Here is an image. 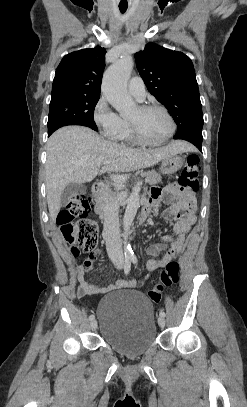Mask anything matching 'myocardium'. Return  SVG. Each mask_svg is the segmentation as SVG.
Masks as SVG:
<instances>
[{
  "instance_id": "f54148a6",
  "label": "myocardium",
  "mask_w": 247,
  "mask_h": 407,
  "mask_svg": "<svg viewBox=\"0 0 247 407\" xmlns=\"http://www.w3.org/2000/svg\"><path fill=\"white\" fill-rule=\"evenodd\" d=\"M138 108L142 111L160 110L161 112H163L170 123V131H169L168 135L161 141H157V142L148 141L142 137L136 124L134 122L128 120L129 129H130L131 135L134 138V140L141 145L151 146V147H156V146H161V145L166 144L173 137V135L176 132V128H177L176 122H175L172 114L170 113V111L166 107H164L160 104H143V105L138 106Z\"/></svg>"
}]
</instances>
